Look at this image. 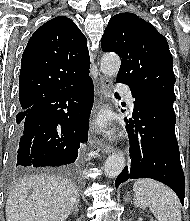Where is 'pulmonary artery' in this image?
Here are the masks:
<instances>
[{
	"mask_svg": "<svg viewBox=\"0 0 190 221\" xmlns=\"http://www.w3.org/2000/svg\"><path fill=\"white\" fill-rule=\"evenodd\" d=\"M120 89L124 93V96H125V99H126L128 105L130 106L131 109H133V107H134V98L132 96L131 91L126 87H121Z\"/></svg>",
	"mask_w": 190,
	"mask_h": 221,
	"instance_id": "obj_1",
	"label": "pulmonary artery"
}]
</instances>
